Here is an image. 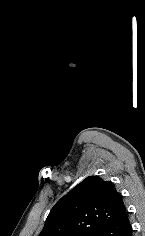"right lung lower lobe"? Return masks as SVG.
I'll use <instances>...</instances> for the list:
<instances>
[{
  "instance_id": "1",
  "label": "right lung lower lobe",
  "mask_w": 145,
  "mask_h": 236,
  "mask_svg": "<svg viewBox=\"0 0 145 236\" xmlns=\"http://www.w3.org/2000/svg\"><path fill=\"white\" fill-rule=\"evenodd\" d=\"M96 236H132V226L128 218V212L126 211Z\"/></svg>"
}]
</instances>
